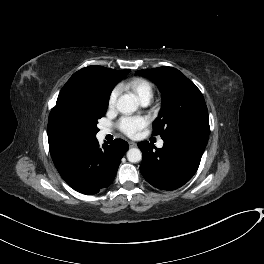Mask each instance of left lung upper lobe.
<instances>
[{
    "label": "left lung upper lobe",
    "instance_id": "obj_1",
    "mask_svg": "<svg viewBox=\"0 0 264 264\" xmlns=\"http://www.w3.org/2000/svg\"><path fill=\"white\" fill-rule=\"evenodd\" d=\"M136 75L154 81L162 93V107L153 123V135L170 138L184 131L209 135L208 110L200 90L173 67L139 70Z\"/></svg>",
    "mask_w": 264,
    "mask_h": 264
}]
</instances>
